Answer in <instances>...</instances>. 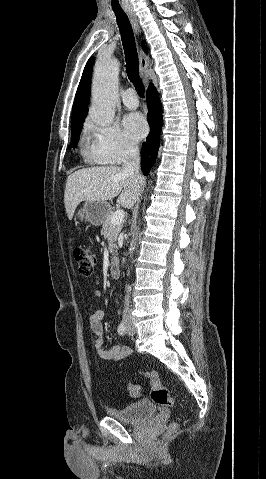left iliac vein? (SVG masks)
<instances>
[{"label": "left iliac vein", "instance_id": "4c4485c4", "mask_svg": "<svg viewBox=\"0 0 266 479\" xmlns=\"http://www.w3.org/2000/svg\"><path fill=\"white\" fill-rule=\"evenodd\" d=\"M135 332H136L135 327L133 326L132 322L129 321V322H128V328H127V334H128V335H134Z\"/></svg>", "mask_w": 266, "mask_h": 479}]
</instances>
